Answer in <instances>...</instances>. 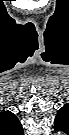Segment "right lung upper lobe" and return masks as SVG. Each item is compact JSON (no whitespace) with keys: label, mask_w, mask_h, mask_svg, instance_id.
I'll return each mask as SVG.
<instances>
[{"label":"right lung upper lobe","mask_w":69,"mask_h":135,"mask_svg":"<svg viewBox=\"0 0 69 135\" xmlns=\"http://www.w3.org/2000/svg\"><path fill=\"white\" fill-rule=\"evenodd\" d=\"M5 113L6 117L9 119L8 122L10 124L7 128V133H9V135H21V133H23V129L17 117L10 111H7Z\"/></svg>","instance_id":"cb5924a9"}]
</instances>
